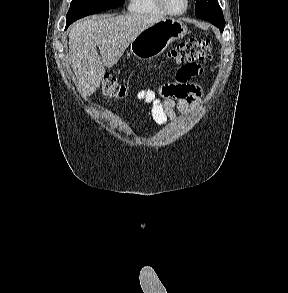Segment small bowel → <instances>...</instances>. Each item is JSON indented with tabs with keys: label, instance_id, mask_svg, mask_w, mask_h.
<instances>
[{
	"label": "small bowel",
	"instance_id": "obj_1",
	"mask_svg": "<svg viewBox=\"0 0 288 293\" xmlns=\"http://www.w3.org/2000/svg\"><path fill=\"white\" fill-rule=\"evenodd\" d=\"M202 71L198 63L184 65L177 71L174 82L163 84L156 91L145 89L138 93L139 100L152 104L151 115L158 126L164 127L174 120L175 109L189 114L199 105L200 88L189 81Z\"/></svg>",
	"mask_w": 288,
	"mask_h": 293
}]
</instances>
